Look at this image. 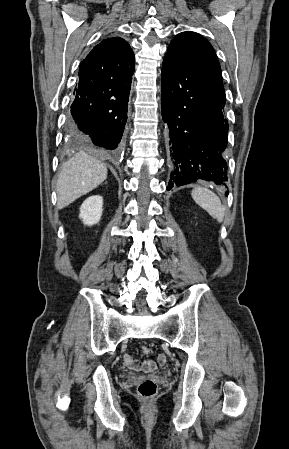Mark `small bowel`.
<instances>
[{
    "label": "small bowel",
    "mask_w": 289,
    "mask_h": 449,
    "mask_svg": "<svg viewBox=\"0 0 289 449\" xmlns=\"http://www.w3.org/2000/svg\"><path fill=\"white\" fill-rule=\"evenodd\" d=\"M124 363L128 368L133 370L153 371L157 368L165 369L167 367V354L164 351L159 352L157 362L154 360H146L140 362L129 354L124 355Z\"/></svg>",
    "instance_id": "small-bowel-1"
}]
</instances>
